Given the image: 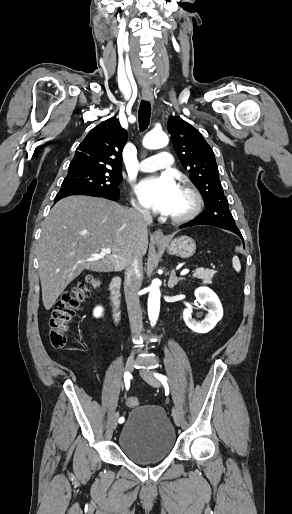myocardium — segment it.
<instances>
[{
  "label": "myocardium",
  "instance_id": "1",
  "mask_svg": "<svg viewBox=\"0 0 292 514\" xmlns=\"http://www.w3.org/2000/svg\"><path fill=\"white\" fill-rule=\"evenodd\" d=\"M180 190L184 192L190 199V206L187 211L181 214L169 213V217L175 222H184L192 219L197 215L201 208L202 199L201 195L196 188L189 183L181 185Z\"/></svg>",
  "mask_w": 292,
  "mask_h": 514
}]
</instances>
